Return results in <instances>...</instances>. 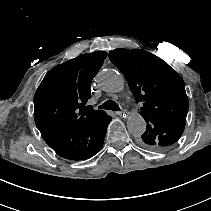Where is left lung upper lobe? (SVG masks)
Segmentation results:
<instances>
[{
	"mask_svg": "<svg viewBox=\"0 0 211 211\" xmlns=\"http://www.w3.org/2000/svg\"><path fill=\"white\" fill-rule=\"evenodd\" d=\"M109 58L123 73L140 102V115L146 121L141 144L163 151L176 143L185 128L189 103L180 75L165 61L139 49H115Z\"/></svg>",
	"mask_w": 211,
	"mask_h": 211,
	"instance_id": "left-lung-upper-lobe-1",
	"label": "left lung upper lobe"
}]
</instances>
